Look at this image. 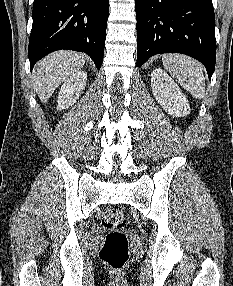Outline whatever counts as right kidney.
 Masks as SVG:
<instances>
[{
	"instance_id": "1",
	"label": "right kidney",
	"mask_w": 233,
	"mask_h": 286,
	"mask_svg": "<svg viewBox=\"0 0 233 286\" xmlns=\"http://www.w3.org/2000/svg\"><path fill=\"white\" fill-rule=\"evenodd\" d=\"M87 73L76 71L68 77L61 86L57 97V110L67 109L72 106L81 95L86 86Z\"/></svg>"
}]
</instances>
